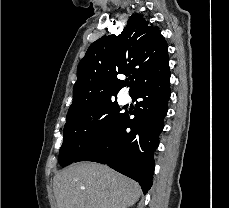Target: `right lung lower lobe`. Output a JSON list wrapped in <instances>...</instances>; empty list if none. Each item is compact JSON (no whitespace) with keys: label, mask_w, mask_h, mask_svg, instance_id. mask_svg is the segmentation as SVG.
<instances>
[{"label":"right lung lower lobe","mask_w":229,"mask_h":208,"mask_svg":"<svg viewBox=\"0 0 229 208\" xmlns=\"http://www.w3.org/2000/svg\"><path fill=\"white\" fill-rule=\"evenodd\" d=\"M130 95L140 99L134 111L123 113L118 125L74 162L107 164L139 182L145 194L152 186L153 153L159 145L170 98L169 65L161 76L142 84ZM130 115L135 117L130 119Z\"/></svg>","instance_id":"right-lung-lower-lobe-1"}]
</instances>
